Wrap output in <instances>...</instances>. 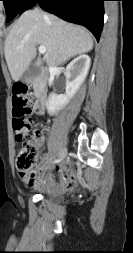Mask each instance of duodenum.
<instances>
[{"label": "duodenum", "mask_w": 133, "mask_h": 253, "mask_svg": "<svg viewBox=\"0 0 133 253\" xmlns=\"http://www.w3.org/2000/svg\"><path fill=\"white\" fill-rule=\"evenodd\" d=\"M48 77L46 72L39 73L36 78L30 79V82L35 86L37 90V98L34 105V111L38 115H43L46 110L47 94H46V84Z\"/></svg>", "instance_id": "duodenum-1"}]
</instances>
